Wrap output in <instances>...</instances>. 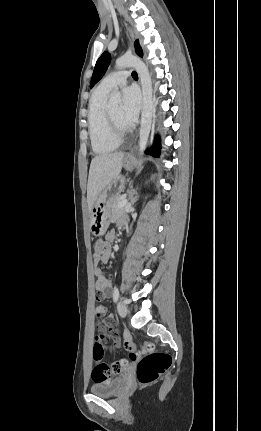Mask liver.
Returning <instances> with one entry per match:
<instances>
[{"label":"liver","mask_w":261,"mask_h":431,"mask_svg":"<svg viewBox=\"0 0 261 431\" xmlns=\"http://www.w3.org/2000/svg\"><path fill=\"white\" fill-rule=\"evenodd\" d=\"M124 153H111L94 157L90 164L87 203L89 211L103 192L119 175L123 166Z\"/></svg>","instance_id":"1"}]
</instances>
